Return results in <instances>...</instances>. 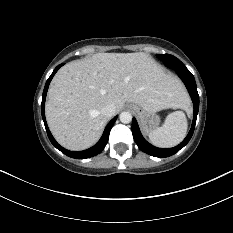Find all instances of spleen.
Instances as JSON below:
<instances>
[{
    "label": "spleen",
    "mask_w": 233,
    "mask_h": 233,
    "mask_svg": "<svg viewBox=\"0 0 233 233\" xmlns=\"http://www.w3.org/2000/svg\"><path fill=\"white\" fill-rule=\"evenodd\" d=\"M188 122L183 111L169 114L164 124L151 131L148 135L150 142L161 148L178 145L186 136Z\"/></svg>",
    "instance_id": "spleen-1"
}]
</instances>
